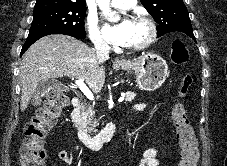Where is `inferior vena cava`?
<instances>
[{
	"instance_id": "inferior-vena-cava-1",
	"label": "inferior vena cava",
	"mask_w": 227,
	"mask_h": 166,
	"mask_svg": "<svg viewBox=\"0 0 227 166\" xmlns=\"http://www.w3.org/2000/svg\"><path fill=\"white\" fill-rule=\"evenodd\" d=\"M94 47L99 63H103L109 58V47L101 38L94 39Z\"/></svg>"
}]
</instances>
